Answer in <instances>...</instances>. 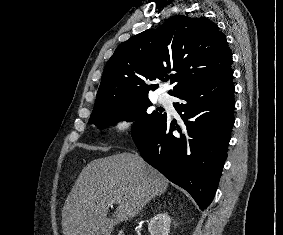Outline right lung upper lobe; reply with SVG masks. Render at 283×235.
I'll list each match as a JSON object with an SVG mask.
<instances>
[{"label":"right lung upper lobe","mask_w":283,"mask_h":235,"mask_svg":"<svg viewBox=\"0 0 283 235\" xmlns=\"http://www.w3.org/2000/svg\"><path fill=\"white\" fill-rule=\"evenodd\" d=\"M225 35L206 17L178 15L121 43L105 66L95 105L148 96L171 71L169 92L211 82L232 72Z\"/></svg>","instance_id":"right-lung-upper-lobe-1"}]
</instances>
